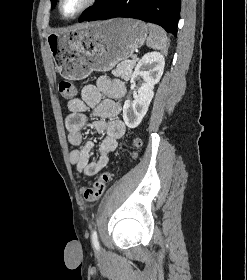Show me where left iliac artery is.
<instances>
[{"label": "left iliac artery", "mask_w": 247, "mask_h": 280, "mask_svg": "<svg viewBox=\"0 0 247 280\" xmlns=\"http://www.w3.org/2000/svg\"><path fill=\"white\" fill-rule=\"evenodd\" d=\"M92 243L94 247L98 250L99 249V242H98V237H97V232L96 230H93L92 235H91Z\"/></svg>", "instance_id": "obj_1"}]
</instances>
